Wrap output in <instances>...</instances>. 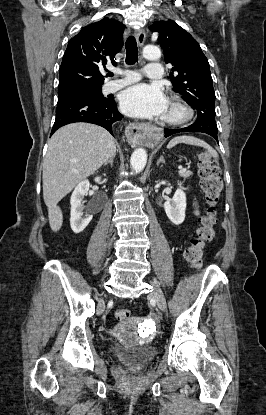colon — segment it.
<instances>
[{
	"label": "colon",
	"instance_id": "obj_1",
	"mask_svg": "<svg viewBox=\"0 0 266 415\" xmlns=\"http://www.w3.org/2000/svg\"><path fill=\"white\" fill-rule=\"evenodd\" d=\"M198 168L200 187L204 193L207 208L200 218V225L195 236L191 239L184 253L185 259L193 268L202 266L205 244L214 238L215 207L223 187L219 167L208 152H202L199 155ZM130 315V310L125 307H120L115 312V316L119 320H126Z\"/></svg>",
	"mask_w": 266,
	"mask_h": 415
}]
</instances>
